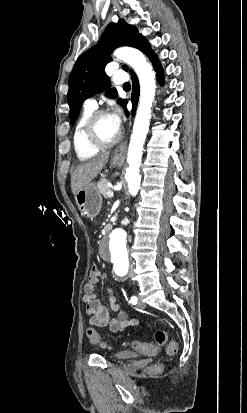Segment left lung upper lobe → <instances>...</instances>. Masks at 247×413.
Masks as SVG:
<instances>
[{
  "mask_svg": "<svg viewBox=\"0 0 247 413\" xmlns=\"http://www.w3.org/2000/svg\"><path fill=\"white\" fill-rule=\"evenodd\" d=\"M119 46H132L149 57L154 51L135 26L129 25L124 19L107 25L99 42L84 52L76 61L69 77L67 101L70 107V120L74 125L83 101L96 93L104 91L109 85L105 66L112 60L111 52ZM123 69L128 71L125 65ZM133 73L132 70L130 71ZM108 97H116L117 90L106 91ZM125 107L126 100H118Z\"/></svg>",
  "mask_w": 247,
  "mask_h": 413,
  "instance_id": "5c2ea615",
  "label": "left lung upper lobe"
}]
</instances>
